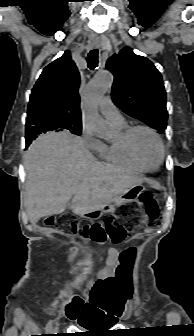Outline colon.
<instances>
[{
    "label": "colon",
    "instance_id": "obj_1",
    "mask_svg": "<svg viewBox=\"0 0 194 336\" xmlns=\"http://www.w3.org/2000/svg\"><path fill=\"white\" fill-rule=\"evenodd\" d=\"M141 208V214L138 209ZM159 216V208L155 198L148 192H142L138 196L136 202L125 205L120 209L117 216H108L102 223L79 225L68 214L60 217L58 222L49 217L46 220L47 226L58 225L64 230L76 232L81 230L86 239L102 244L112 242L115 244L122 243L129 235V232L140 226H152L157 223ZM121 219L123 222H119ZM132 262V252L126 251L122 254L120 265L117 273L123 276L129 269ZM83 307V300L79 296H75L66 306V316L74 320L78 317Z\"/></svg>",
    "mask_w": 194,
    "mask_h": 336
}]
</instances>
